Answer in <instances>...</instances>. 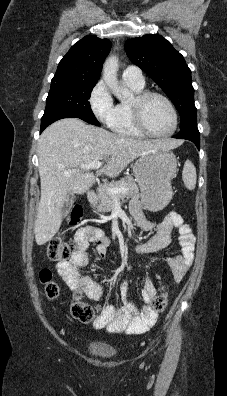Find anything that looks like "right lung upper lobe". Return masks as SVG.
Masks as SVG:
<instances>
[{
  "instance_id": "obj_1",
  "label": "right lung upper lobe",
  "mask_w": 227,
  "mask_h": 396,
  "mask_svg": "<svg viewBox=\"0 0 227 396\" xmlns=\"http://www.w3.org/2000/svg\"><path fill=\"white\" fill-rule=\"evenodd\" d=\"M110 49L108 39L87 35L70 48L60 61L55 75L98 80Z\"/></svg>"
}]
</instances>
